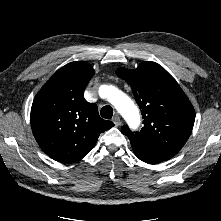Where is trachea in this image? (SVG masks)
Returning a JSON list of instances; mask_svg holds the SVG:
<instances>
[{"mask_svg":"<svg viewBox=\"0 0 221 221\" xmlns=\"http://www.w3.org/2000/svg\"><path fill=\"white\" fill-rule=\"evenodd\" d=\"M100 115L105 119H111L113 116V109L111 106H104L101 111Z\"/></svg>","mask_w":221,"mask_h":221,"instance_id":"1","label":"trachea"}]
</instances>
